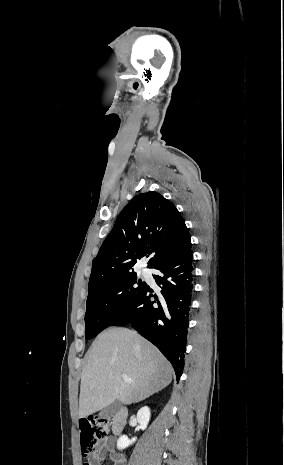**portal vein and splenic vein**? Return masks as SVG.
Instances as JSON below:
<instances>
[{"label": "portal vein and splenic vein", "instance_id": "18ae733b", "mask_svg": "<svg viewBox=\"0 0 284 465\" xmlns=\"http://www.w3.org/2000/svg\"><path fill=\"white\" fill-rule=\"evenodd\" d=\"M123 381H125V383H133L132 379H130V377H128V375H121Z\"/></svg>", "mask_w": 284, "mask_h": 465}]
</instances>
